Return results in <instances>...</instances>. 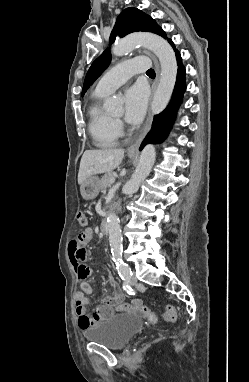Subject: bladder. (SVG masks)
<instances>
[{"mask_svg":"<svg viewBox=\"0 0 249 382\" xmlns=\"http://www.w3.org/2000/svg\"><path fill=\"white\" fill-rule=\"evenodd\" d=\"M137 314H117L85 330L86 340L100 343L110 349H120L143 327Z\"/></svg>","mask_w":249,"mask_h":382,"instance_id":"1","label":"bladder"}]
</instances>
